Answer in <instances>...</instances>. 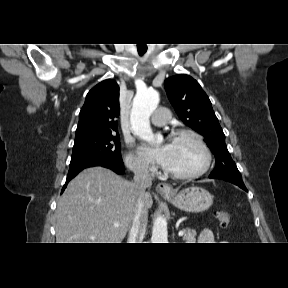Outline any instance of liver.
<instances>
[{
    "mask_svg": "<svg viewBox=\"0 0 288 288\" xmlns=\"http://www.w3.org/2000/svg\"><path fill=\"white\" fill-rule=\"evenodd\" d=\"M136 198L133 182L103 167L84 169L58 201L57 243H121L132 221ZM144 205L147 210L153 205L149 192H145Z\"/></svg>",
    "mask_w": 288,
    "mask_h": 288,
    "instance_id": "obj_1",
    "label": "liver"
}]
</instances>
